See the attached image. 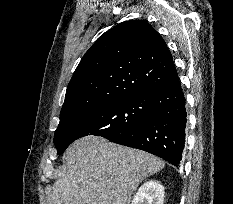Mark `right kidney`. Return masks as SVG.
I'll list each match as a JSON object with an SVG mask.
<instances>
[{"mask_svg": "<svg viewBox=\"0 0 233 204\" xmlns=\"http://www.w3.org/2000/svg\"><path fill=\"white\" fill-rule=\"evenodd\" d=\"M164 193L158 181L150 180L138 189L131 204H164Z\"/></svg>", "mask_w": 233, "mask_h": 204, "instance_id": "1", "label": "right kidney"}]
</instances>
